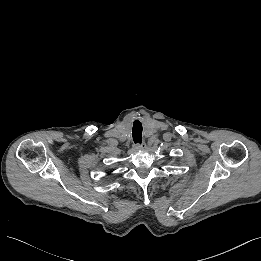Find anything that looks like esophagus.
<instances>
[{
  "instance_id": "obj_1",
  "label": "esophagus",
  "mask_w": 261,
  "mask_h": 261,
  "mask_svg": "<svg viewBox=\"0 0 261 261\" xmlns=\"http://www.w3.org/2000/svg\"><path fill=\"white\" fill-rule=\"evenodd\" d=\"M137 145H138V144H137ZM145 148H146L145 143H142L140 146H136V147H135L136 150H141V151H142V150H145Z\"/></svg>"
}]
</instances>
